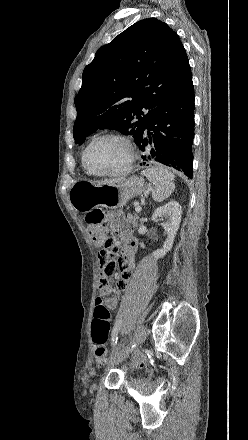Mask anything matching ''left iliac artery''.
I'll return each mask as SVG.
<instances>
[{
    "instance_id": "obj_1",
    "label": "left iliac artery",
    "mask_w": 248,
    "mask_h": 440,
    "mask_svg": "<svg viewBox=\"0 0 248 440\" xmlns=\"http://www.w3.org/2000/svg\"><path fill=\"white\" fill-rule=\"evenodd\" d=\"M117 333H118L117 328H114V329H113V332H112V338H111V340H112V345H113V346L116 345L117 340H118ZM130 344H131V348H132V349L136 346V341H135V338H134V337L131 339Z\"/></svg>"
}]
</instances>
